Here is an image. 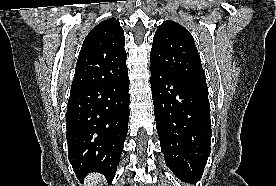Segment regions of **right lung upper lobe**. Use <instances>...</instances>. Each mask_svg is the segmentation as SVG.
I'll list each match as a JSON object with an SVG mask.
<instances>
[{
	"instance_id": "obj_1",
	"label": "right lung upper lobe",
	"mask_w": 276,
	"mask_h": 186,
	"mask_svg": "<svg viewBox=\"0 0 276 186\" xmlns=\"http://www.w3.org/2000/svg\"><path fill=\"white\" fill-rule=\"evenodd\" d=\"M124 31L115 18L95 26L85 38L76 64L71 90L120 80L128 74Z\"/></svg>"
}]
</instances>
